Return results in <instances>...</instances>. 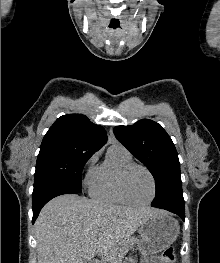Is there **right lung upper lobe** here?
<instances>
[{"mask_svg": "<svg viewBox=\"0 0 220 263\" xmlns=\"http://www.w3.org/2000/svg\"><path fill=\"white\" fill-rule=\"evenodd\" d=\"M107 141L105 129L92 123L82 114H67L59 117L43 138L40 152L51 149H66L96 152Z\"/></svg>", "mask_w": 220, "mask_h": 263, "instance_id": "1", "label": "right lung upper lobe"}]
</instances>
